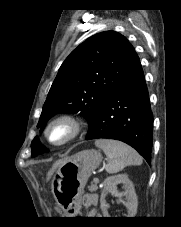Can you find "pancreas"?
I'll return each instance as SVG.
<instances>
[{"label": "pancreas", "mask_w": 181, "mask_h": 227, "mask_svg": "<svg viewBox=\"0 0 181 227\" xmlns=\"http://www.w3.org/2000/svg\"><path fill=\"white\" fill-rule=\"evenodd\" d=\"M88 190H89L90 192L97 191V190H98L97 184H96V183H91V185L88 186Z\"/></svg>", "instance_id": "obj_1"}]
</instances>
